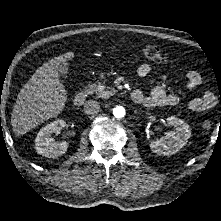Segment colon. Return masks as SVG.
I'll list each match as a JSON object with an SVG mask.
<instances>
[{
    "label": "colon",
    "instance_id": "colon-1",
    "mask_svg": "<svg viewBox=\"0 0 221 221\" xmlns=\"http://www.w3.org/2000/svg\"><path fill=\"white\" fill-rule=\"evenodd\" d=\"M141 53L145 58L156 63H163L168 60V54L156 46H144L141 49ZM203 127L205 129H209L211 127V123L209 121H205L203 123Z\"/></svg>",
    "mask_w": 221,
    "mask_h": 221
}]
</instances>
